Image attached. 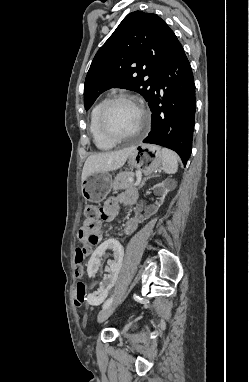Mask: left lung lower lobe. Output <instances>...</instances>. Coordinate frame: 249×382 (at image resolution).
<instances>
[{"instance_id":"obj_1","label":"left lung lower lobe","mask_w":249,"mask_h":382,"mask_svg":"<svg viewBox=\"0 0 249 382\" xmlns=\"http://www.w3.org/2000/svg\"><path fill=\"white\" fill-rule=\"evenodd\" d=\"M195 103L192 69L177 41L148 101L152 112L151 131L143 142L176 151L186 164L192 149Z\"/></svg>"}]
</instances>
